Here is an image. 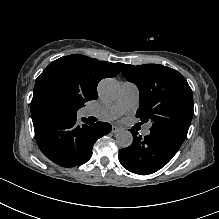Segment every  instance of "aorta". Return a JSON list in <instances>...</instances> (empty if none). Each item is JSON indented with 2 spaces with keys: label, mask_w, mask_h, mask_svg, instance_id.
<instances>
[{
  "label": "aorta",
  "mask_w": 219,
  "mask_h": 219,
  "mask_svg": "<svg viewBox=\"0 0 219 219\" xmlns=\"http://www.w3.org/2000/svg\"><path fill=\"white\" fill-rule=\"evenodd\" d=\"M120 91V86L117 80L106 78L100 81L98 85V92L100 97L105 101L115 100ZM116 142L119 147H129L133 142V136L129 131H120L116 135Z\"/></svg>",
  "instance_id": "762f6f07"
}]
</instances>
